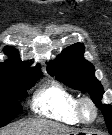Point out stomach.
I'll return each mask as SVG.
<instances>
[{
	"label": "stomach",
	"instance_id": "1",
	"mask_svg": "<svg viewBox=\"0 0 112 135\" xmlns=\"http://www.w3.org/2000/svg\"><path fill=\"white\" fill-rule=\"evenodd\" d=\"M72 134L74 135H92L94 133L88 131H74Z\"/></svg>",
	"mask_w": 112,
	"mask_h": 135
}]
</instances>
